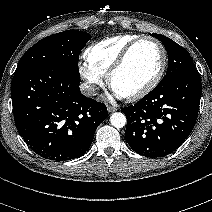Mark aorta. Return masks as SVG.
I'll return each mask as SVG.
<instances>
[{
    "mask_svg": "<svg viewBox=\"0 0 212 212\" xmlns=\"http://www.w3.org/2000/svg\"><path fill=\"white\" fill-rule=\"evenodd\" d=\"M110 123L115 128H122L126 125V117L121 112H115L110 116Z\"/></svg>",
    "mask_w": 212,
    "mask_h": 212,
    "instance_id": "1",
    "label": "aorta"
}]
</instances>
